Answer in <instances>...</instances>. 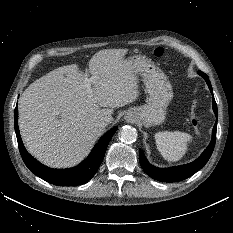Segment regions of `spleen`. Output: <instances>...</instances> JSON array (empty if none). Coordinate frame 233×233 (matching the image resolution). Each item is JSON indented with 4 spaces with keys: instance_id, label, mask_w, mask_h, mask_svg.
Masks as SVG:
<instances>
[{
    "instance_id": "3e777b00",
    "label": "spleen",
    "mask_w": 233,
    "mask_h": 233,
    "mask_svg": "<svg viewBox=\"0 0 233 233\" xmlns=\"http://www.w3.org/2000/svg\"><path fill=\"white\" fill-rule=\"evenodd\" d=\"M156 146L160 154L167 161H179L188 149L192 136L179 131H160L155 135Z\"/></svg>"
}]
</instances>
